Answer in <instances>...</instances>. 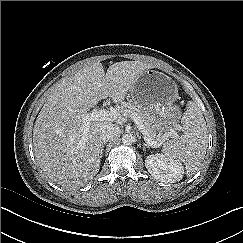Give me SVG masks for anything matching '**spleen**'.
Here are the masks:
<instances>
[{"label": "spleen", "mask_w": 243, "mask_h": 243, "mask_svg": "<svg viewBox=\"0 0 243 243\" xmlns=\"http://www.w3.org/2000/svg\"><path fill=\"white\" fill-rule=\"evenodd\" d=\"M181 122L184 134H176L158 155L183 162L186 174L192 176L204 160L208 147V130L202 112L194 102L188 103Z\"/></svg>", "instance_id": "1"}]
</instances>
